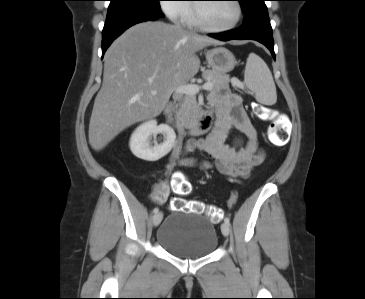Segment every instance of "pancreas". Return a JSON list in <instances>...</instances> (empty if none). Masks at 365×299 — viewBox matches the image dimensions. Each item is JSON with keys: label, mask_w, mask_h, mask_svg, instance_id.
Listing matches in <instances>:
<instances>
[{"label": "pancreas", "mask_w": 365, "mask_h": 299, "mask_svg": "<svg viewBox=\"0 0 365 299\" xmlns=\"http://www.w3.org/2000/svg\"><path fill=\"white\" fill-rule=\"evenodd\" d=\"M203 79L212 83V89L221 90L228 89L229 76L214 70H205L202 74ZM199 106L196 101L195 95H186L183 98L180 108L176 111V119L183 126L189 127V125L198 118Z\"/></svg>", "instance_id": "pancreas-1"}]
</instances>
